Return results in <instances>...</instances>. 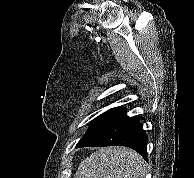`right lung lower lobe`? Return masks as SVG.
<instances>
[{
  "mask_svg": "<svg viewBox=\"0 0 194 178\" xmlns=\"http://www.w3.org/2000/svg\"><path fill=\"white\" fill-rule=\"evenodd\" d=\"M86 146H125L147 159V136L143 126L138 119L128 117L125 108H120L86 133L76 147Z\"/></svg>",
  "mask_w": 194,
  "mask_h": 178,
  "instance_id": "obj_1",
  "label": "right lung lower lobe"
}]
</instances>
